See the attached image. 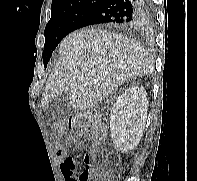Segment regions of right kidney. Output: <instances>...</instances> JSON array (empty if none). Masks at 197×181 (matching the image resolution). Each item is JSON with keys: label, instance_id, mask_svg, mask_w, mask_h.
I'll return each instance as SVG.
<instances>
[{"label": "right kidney", "instance_id": "ca27d5eb", "mask_svg": "<svg viewBox=\"0 0 197 181\" xmlns=\"http://www.w3.org/2000/svg\"><path fill=\"white\" fill-rule=\"evenodd\" d=\"M147 93L144 87L126 89L111 109V138L116 147L127 152L136 147L143 135L147 118Z\"/></svg>", "mask_w": 197, "mask_h": 181}]
</instances>
